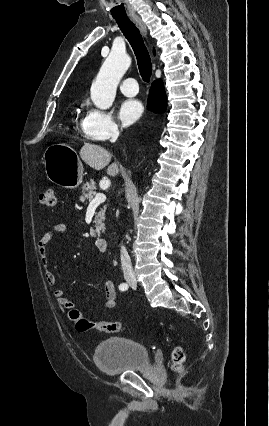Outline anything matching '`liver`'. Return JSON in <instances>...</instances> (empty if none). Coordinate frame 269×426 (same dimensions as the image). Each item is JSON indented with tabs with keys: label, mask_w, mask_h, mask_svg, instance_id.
I'll list each match as a JSON object with an SVG mask.
<instances>
[{
	"label": "liver",
	"mask_w": 269,
	"mask_h": 426,
	"mask_svg": "<svg viewBox=\"0 0 269 426\" xmlns=\"http://www.w3.org/2000/svg\"><path fill=\"white\" fill-rule=\"evenodd\" d=\"M81 159L95 170H101L106 167L111 160V154L108 150L97 144L84 143L80 149ZM119 173L118 165L116 162L108 166L107 174L116 176Z\"/></svg>",
	"instance_id": "liver-1"
}]
</instances>
